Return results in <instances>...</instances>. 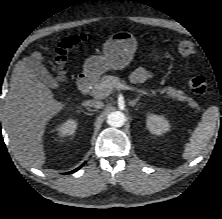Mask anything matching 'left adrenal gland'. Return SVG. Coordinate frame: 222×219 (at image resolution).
Masks as SVG:
<instances>
[{
	"label": "left adrenal gland",
	"instance_id": "1",
	"mask_svg": "<svg viewBox=\"0 0 222 219\" xmlns=\"http://www.w3.org/2000/svg\"><path fill=\"white\" fill-rule=\"evenodd\" d=\"M139 99H140V96H138L136 99H134V100H130L128 103H129V105L130 106H135L136 105V103L139 101Z\"/></svg>",
	"mask_w": 222,
	"mask_h": 219
}]
</instances>
